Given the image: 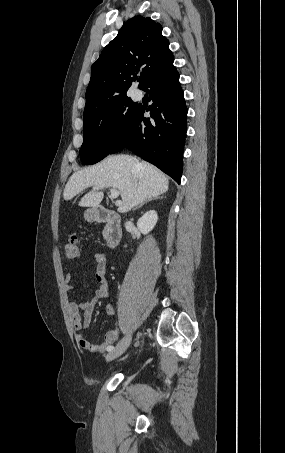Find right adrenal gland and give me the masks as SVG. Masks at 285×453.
<instances>
[{"mask_svg": "<svg viewBox=\"0 0 285 453\" xmlns=\"http://www.w3.org/2000/svg\"><path fill=\"white\" fill-rule=\"evenodd\" d=\"M161 197H151V198H148L146 199L144 202H142L139 206H137L133 211L137 210L138 208L142 207L144 204L152 201V200H155V199H159Z\"/></svg>", "mask_w": 285, "mask_h": 453, "instance_id": "right-adrenal-gland-1", "label": "right adrenal gland"}]
</instances>
